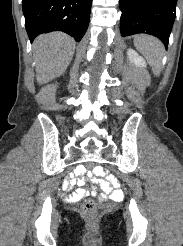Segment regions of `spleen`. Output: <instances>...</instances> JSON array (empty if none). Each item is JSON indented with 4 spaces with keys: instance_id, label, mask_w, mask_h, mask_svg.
Returning a JSON list of instances; mask_svg holds the SVG:
<instances>
[{
    "instance_id": "spleen-1",
    "label": "spleen",
    "mask_w": 183,
    "mask_h": 246,
    "mask_svg": "<svg viewBox=\"0 0 183 246\" xmlns=\"http://www.w3.org/2000/svg\"><path fill=\"white\" fill-rule=\"evenodd\" d=\"M134 45L146 57L147 61L152 66L153 73L159 76L165 52L162 42L149 35H138L134 39Z\"/></svg>"
}]
</instances>
